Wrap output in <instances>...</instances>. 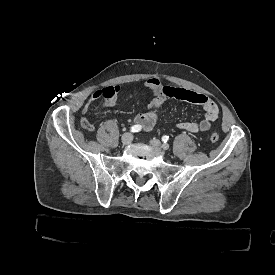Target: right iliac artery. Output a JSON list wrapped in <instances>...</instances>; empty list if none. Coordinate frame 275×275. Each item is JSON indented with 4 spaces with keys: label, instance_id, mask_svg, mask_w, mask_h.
<instances>
[{
    "label": "right iliac artery",
    "instance_id": "obj_1",
    "mask_svg": "<svg viewBox=\"0 0 275 275\" xmlns=\"http://www.w3.org/2000/svg\"><path fill=\"white\" fill-rule=\"evenodd\" d=\"M142 129L141 125H133L131 127V132H139Z\"/></svg>",
    "mask_w": 275,
    "mask_h": 275
}]
</instances>
